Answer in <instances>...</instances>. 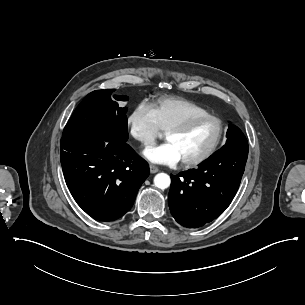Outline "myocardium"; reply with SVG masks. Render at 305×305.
<instances>
[{
    "label": "myocardium",
    "instance_id": "myocardium-1",
    "mask_svg": "<svg viewBox=\"0 0 305 305\" xmlns=\"http://www.w3.org/2000/svg\"><path fill=\"white\" fill-rule=\"evenodd\" d=\"M210 119L217 120L220 124V132H219V136H218L217 140L201 156L191 159V160H182L184 167L193 168V167L199 166V165L205 163L206 161H208L209 159H211L214 156V154L220 149V147L222 146V144L224 142L226 132H227V125L220 116L208 112L207 114H204V115L192 116V117H189L182 121H179L177 123H174L166 129V134L169 132L184 131V130H187L188 128H190L191 126H193L194 124H197V123H200V122H203L206 120H210Z\"/></svg>",
    "mask_w": 305,
    "mask_h": 305
}]
</instances>
